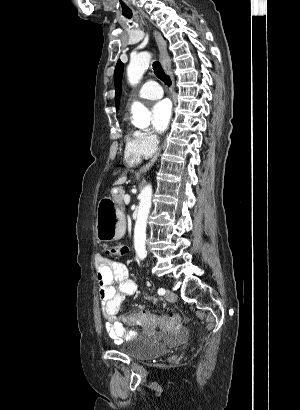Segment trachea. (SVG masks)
Listing matches in <instances>:
<instances>
[{
  "label": "trachea",
  "mask_w": 300,
  "mask_h": 410,
  "mask_svg": "<svg viewBox=\"0 0 300 410\" xmlns=\"http://www.w3.org/2000/svg\"><path fill=\"white\" fill-rule=\"evenodd\" d=\"M153 70L156 76L163 81L167 86H171L172 81L170 77L164 72L159 61L153 62Z\"/></svg>",
  "instance_id": "3493384b"
}]
</instances>
